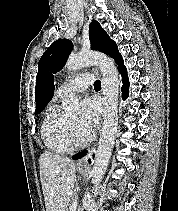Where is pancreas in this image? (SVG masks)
I'll return each mask as SVG.
<instances>
[{
  "instance_id": "cf45deb5",
  "label": "pancreas",
  "mask_w": 178,
  "mask_h": 211,
  "mask_svg": "<svg viewBox=\"0 0 178 211\" xmlns=\"http://www.w3.org/2000/svg\"><path fill=\"white\" fill-rule=\"evenodd\" d=\"M77 199H78V196H77L76 194L72 196V198L70 199V203H69V209H68L67 211H74V210L72 209V204H73L75 201H77Z\"/></svg>"
}]
</instances>
